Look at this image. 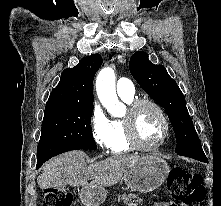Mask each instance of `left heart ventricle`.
<instances>
[{
  "label": "left heart ventricle",
  "instance_id": "b2bd125f",
  "mask_svg": "<svg viewBox=\"0 0 221 206\" xmlns=\"http://www.w3.org/2000/svg\"><path fill=\"white\" fill-rule=\"evenodd\" d=\"M136 129L140 142L145 146L157 144L163 133L160 115L150 106H142L136 112Z\"/></svg>",
  "mask_w": 221,
  "mask_h": 206
}]
</instances>
